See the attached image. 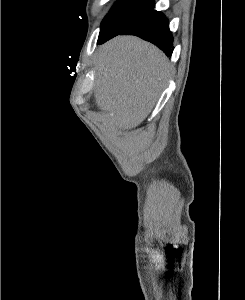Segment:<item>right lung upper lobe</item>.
<instances>
[{"mask_svg":"<svg viewBox=\"0 0 245 300\" xmlns=\"http://www.w3.org/2000/svg\"><path fill=\"white\" fill-rule=\"evenodd\" d=\"M138 1H143V2H153V0H138Z\"/></svg>","mask_w":245,"mask_h":300,"instance_id":"obj_1","label":"right lung upper lobe"}]
</instances>
